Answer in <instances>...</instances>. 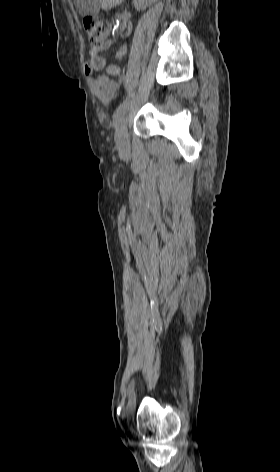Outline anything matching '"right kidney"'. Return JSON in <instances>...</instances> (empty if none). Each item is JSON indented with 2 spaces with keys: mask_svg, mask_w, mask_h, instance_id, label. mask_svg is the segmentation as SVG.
<instances>
[{
  "mask_svg": "<svg viewBox=\"0 0 280 472\" xmlns=\"http://www.w3.org/2000/svg\"><path fill=\"white\" fill-rule=\"evenodd\" d=\"M156 0H133L134 2V7L137 11L144 10L146 7L151 5L152 2H155Z\"/></svg>",
  "mask_w": 280,
  "mask_h": 472,
  "instance_id": "obj_1",
  "label": "right kidney"
}]
</instances>
